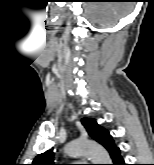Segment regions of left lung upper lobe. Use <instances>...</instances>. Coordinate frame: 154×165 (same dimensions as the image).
I'll return each mask as SVG.
<instances>
[{
	"label": "left lung upper lobe",
	"instance_id": "obj_1",
	"mask_svg": "<svg viewBox=\"0 0 154 165\" xmlns=\"http://www.w3.org/2000/svg\"><path fill=\"white\" fill-rule=\"evenodd\" d=\"M82 124L86 128L88 134L95 141L103 145L112 157L117 147L115 146L114 141L112 140V137L109 134V132L106 129L99 126L94 119L84 118L82 119ZM31 165H56L54 163L53 150H47L46 152L36 156Z\"/></svg>",
	"mask_w": 154,
	"mask_h": 165
}]
</instances>
